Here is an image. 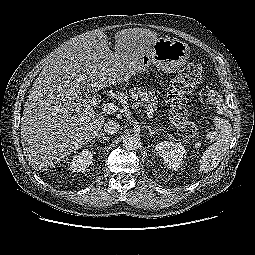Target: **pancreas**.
Segmentation results:
<instances>
[{
	"mask_svg": "<svg viewBox=\"0 0 255 255\" xmlns=\"http://www.w3.org/2000/svg\"><path fill=\"white\" fill-rule=\"evenodd\" d=\"M128 95L135 100L142 101L152 110L158 109V99L154 94L144 87H134L128 91Z\"/></svg>",
	"mask_w": 255,
	"mask_h": 255,
	"instance_id": "pancreas-1",
	"label": "pancreas"
}]
</instances>
